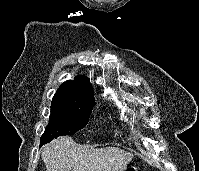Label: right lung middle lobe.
<instances>
[{
	"mask_svg": "<svg viewBox=\"0 0 199 171\" xmlns=\"http://www.w3.org/2000/svg\"><path fill=\"white\" fill-rule=\"evenodd\" d=\"M94 105V101L77 103L53 98L49 124L41 136V144L48 143L58 136L72 135L84 128Z\"/></svg>",
	"mask_w": 199,
	"mask_h": 171,
	"instance_id": "1",
	"label": "right lung middle lobe"
}]
</instances>
